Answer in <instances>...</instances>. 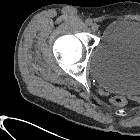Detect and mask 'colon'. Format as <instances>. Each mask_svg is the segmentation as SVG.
Here are the masks:
<instances>
[{
  "mask_svg": "<svg viewBox=\"0 0 140 140\" xmlns=\"http://www.w3.org/2000/svg\"><path fill=\"white\" fill-rule=\"evenodd\" d=\"M111 102L112 104H114L115 106H119V107H122V106H125L126 103H127V100L125 97L121 96V95H114L112 98H111Z\"/></svg>",
  "mask_w": 140,
  "mask_h": 140,
  "instance_id": "colon-1",
  "label": "colon"
}]
</instances>
